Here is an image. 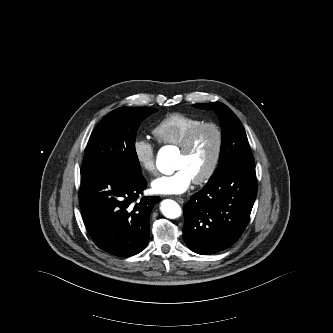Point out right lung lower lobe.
<instances>
[{
  "instance_id": "1",
  "label": "right lung lower lobe",
  "mask_w": 333,
  "mask_h": 333,
  "mask_svg": "<svg viewBox=\"0 0 333 333\" xmlns=\"http://www.w3.org/2000/svg\"><path fill=\"white\" fill-rule=\"evenodd\" d=\"M147 182L116 169L81 170V211L94 243L120 257L141 252L149 238V217L160 197L139 195Z\"/></svg>"
}]
</instances>
